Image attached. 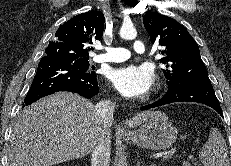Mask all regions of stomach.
Segmentation results:
<instances>
[{
    "label": "stomach",
    "instance_id": "1",
    "mask_svg": "<svg viewBox=\"0 0 231 166\" xmlns=\"http://www.w3.org/2000/svg\"><path fill=\"white\" fill-rule=\"evenodd\" d=\"M177 128L168 121L164 113H156L145 121L142 126L130 136L123 137L125 141L150 150L169 148L177 139Z\"/></svg>",
    "mask_w": 231,
    "mask_h": 166
}]
</instances>
